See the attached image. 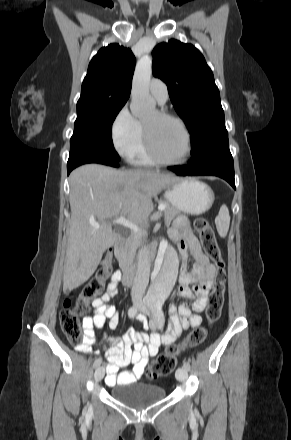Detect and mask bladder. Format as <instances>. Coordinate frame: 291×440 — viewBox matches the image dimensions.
<instances>
[{
	"mask_svg": "<svg viewBox=\"0 0 291 440\" xmlns=\"http://www.w3.org/2000/svg\"><path fill=\"white\" fill-rule=\"evenodd\" d=\"M114 400L129 406L144 407L163 400L166 391L159 385L131 381L111 388Z\"/></svg>",
	"mask_w": 291,
	"mask_h": 440,
	"instance_id": "31cf9c89",
	"label": "bladder"
}]
</instances>
